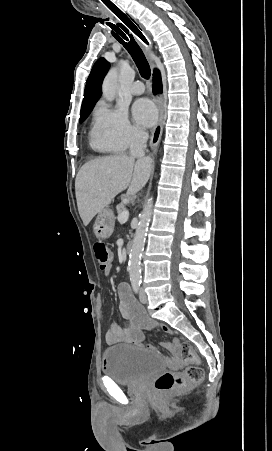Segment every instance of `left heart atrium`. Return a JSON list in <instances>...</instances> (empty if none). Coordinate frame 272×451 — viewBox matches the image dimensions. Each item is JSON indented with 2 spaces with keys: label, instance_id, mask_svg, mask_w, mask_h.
Masks as SVG:
<instances>
[{
  "label": "left heart atrium",
  "instance_id": "obj_1",
  "mask_svg": "<svg viewBox=\"0 0 272 451\" xmlns=\"http://www.w3.org/2000/svg\"><path fill=\"white\" fill-rule=\"evenodd\" d=\"M134 117L136 121L142 125H151L156 118V111L153 104L146 99L138 101L134 105Z\"/></svg>",
  "mask_w": 272,
  "mask_h": 451
}]
</instances>
